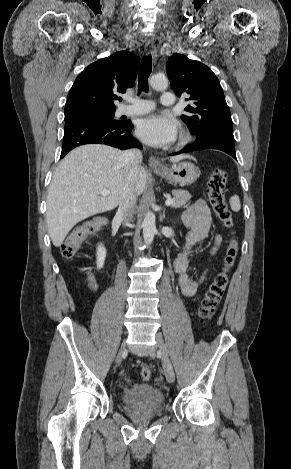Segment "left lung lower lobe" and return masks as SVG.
Here are the masks:
<instances>
[{
    "mask_svg": "<svg viewBox=\"0 0 291 469\" xmlns=\"http://www.w3.org/2000/svg\"><path fill=\"white\" fill-rule=\"evenodd\" d=\"M208 148L219 149L237 159L235 154V140L233 134L223 132H212L204 136L197 137V140L194 144L185 147L181 151L171 155Z\"/></svg>",
    "mask_w": 291,
    "mask_h": 469,
    "instance_id": "obj_1",
    "label": "left lung lower lobe"
}]
</instances>
